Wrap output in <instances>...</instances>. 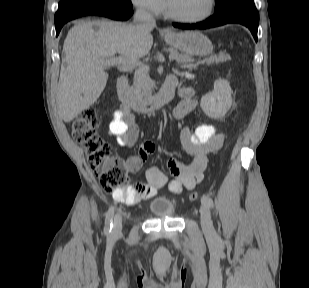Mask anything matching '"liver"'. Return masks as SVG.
I'll return each instance as SVG.
<instances>
[{
	"instance_id": "obj_1",
	"label": "liver",
	"mask_w": 309,
	"mask_h": 288,
	"mask_svg": "<svg viewBox=\"0 0 309 288\" xmlns=\"http://www.w3.org/2000/svg\"><path fill=\"white\" fill-rule=\"evenodd\" d=\"M152 29L98 20L80 21L69 30L56 95L57 109L65 122H71L100 97L109 76L104 60L116 54L137 60L149 53Z\"/></svg>"
}]
</instances>
